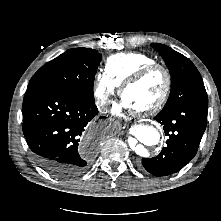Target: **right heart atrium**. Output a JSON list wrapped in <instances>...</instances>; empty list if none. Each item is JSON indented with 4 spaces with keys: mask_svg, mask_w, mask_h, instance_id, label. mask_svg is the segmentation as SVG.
Masks as SVG:
<instances>
[{
    "mask_svg": "<svg viewBox=\"0 0 221 221\" xmlns=\"http://www.w3.org/2000/svg\"><path fill=\"white\" fill-rule=\"evenodd\" d=\"M118 88L119 85L112 78H110L106 72H100L96 75L94 96L96 105L99 109H107Z\"/></svg>",
    "mask_w": 221,
    "mask_h": 221,
    "instance_id": "1",
    "label": "right heart atrium"
}]
</instances>
